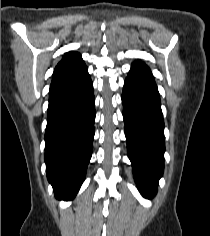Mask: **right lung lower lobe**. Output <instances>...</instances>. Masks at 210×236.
<instances>
[{
	"mask_svg": "<svg viewBox=\"0 0 210 236\" xmlns=\"http://www.w3.org/2000/svg\"><path fill=\"white\" fill-rule=\"evenodd\" d=\"M95 98L84 63L53 75L49 90L45 163L57 197H74L86 175L94 139Z\"/></svg>",
	"mask_w": 210,
	"mask_h": 236,
	"instance_id": "98d812e1",
	"label": "right lung lower lobe"
}]
</instances>
